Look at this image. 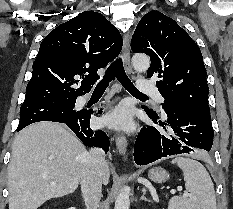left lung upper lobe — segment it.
<instances>
[{"instance_id": "obj_1", "label": "left lung upper lobe", "mask_w": 233, "mask_h": 209, "mask_svg": "<svg viewBox=\"0 0 233 209\" xmlns=\"http://www.w3.org/2000/svg\"><path fill=\"white\" fill-rule=\"evenodd\" d=\"M131 49L150 56L147 77L158 79L156 85L165 99L162 106L166 113L189 111L210 120L201 51L173 19L158 11L145 14L133 34Z\"/></svg>"}]
</instances>
